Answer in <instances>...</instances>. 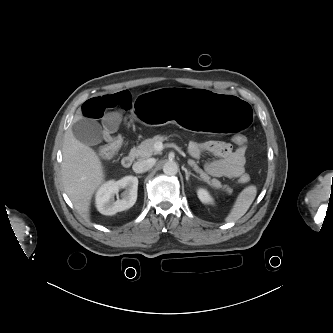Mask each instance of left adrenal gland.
<instances>
[{
  "label": "left adrenal gland",
  "instance_id": "a2214340",
  "mask_svg": "<svg viewBox=\"0 0 333 333\" xmlns=\"http://www.w3.org/2000/svg\"><path fill=\"white\" fill-rule=\"evenodd\" d=\"M182 170L185 171V175H186V180H187V182L189 181V177H190V176H193V177H195V178H197V179H200L198 176H196L195 174H193V173H191L190 171H188L185 167H182Z\"/></svg>",
  "mask_w": 333,
  "mask_h": 333
}]
</instances>
